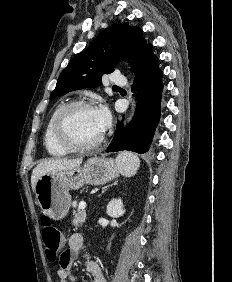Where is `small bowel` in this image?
<instances>
[{"mask_svg": "<svg viewBox=\"0 0 232 282\" xmlns=\"http://www.w3.org/2000/svg\"><path fill=\"white\" fill-rule=\"evenodd\" d=\"M84 245V236L81 233H74L68 241L69 248L63 252L59 260L57 278L59 282H76V277L72 271L74 259L80 254ZM85 268L93 277L92 282H106V279L99 265L92 259L85 260Z\"/></svg>", "mask_w": 232, "mask_h": 282, "instance_id": "small-bowel-1", "label": "small bowel"}]
</instances>
